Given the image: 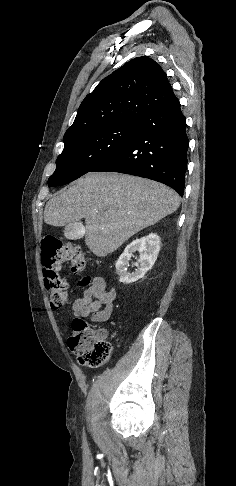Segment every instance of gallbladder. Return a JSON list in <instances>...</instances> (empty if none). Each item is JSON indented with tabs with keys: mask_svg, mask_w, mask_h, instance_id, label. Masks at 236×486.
<instances>
[{
	"mask_svg": "<svg viewBox=\"0 0 236 486\" xmlns=\"http://www.w3.org/2000/svg\"><path fill=\"white\" fill-rule=\"evenodd\" d=\"M84 227L81 223H69L65 225L64 235L70 240L80 239L83 236Z\"/></svg>",
	"mask_w": 236,
	"mask_h": 486,
	"instance_id": "bac80fb5",
	"label": "gallbladder"
}]
</instances>
